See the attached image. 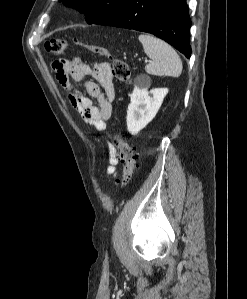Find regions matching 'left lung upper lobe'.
I'll return each instance as SVG.
<instances>
[{
  "label": "left lung upper lobe",
  "mask_w": 247,
  "mask_h": 299,
  "mask_svg": "<svg viewBox=\"0 0 247 299\" xmlns=\"http://www.w3.org/2000/svg\"><path fill=\"white\" fill-rule=\"evenodd\" d=\"M121 0H59L68 7L78 9L86 15L88 24H93L114 9Z\"/></svg>",
  "instance_id": "left-lung-upper-lobe-1"
}]
</instances>
